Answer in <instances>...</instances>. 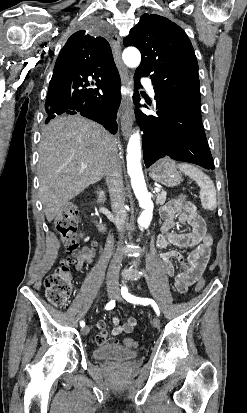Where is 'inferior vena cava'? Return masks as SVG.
<instances>
[{"label":"inferior vena cava","instance_id":"602c4592","mask_svg":"<svg viewBox=\"0 0 247 413\" xmlns=\"http://www.w3.org/2000/svg\"><path fill=\"white\" fill-rule=\"evenodd\" d=\"M120 140L113 138L112 146H109V158L105 164V180L109 188L111 207L115 217V225L122 237L126 221L125 192L122 176L121 160L118 154ZM122 245V243H120ZM120 249L116 251L108 269L107 281L118 283L120 263H122Z\"/></svg>","mask_w":247,"mask_h":413}]
</instances>
